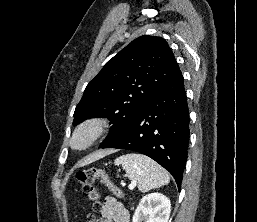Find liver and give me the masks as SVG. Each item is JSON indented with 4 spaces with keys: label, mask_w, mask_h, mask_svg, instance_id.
<instances>
[{
    "label": "liver",
    "mask_w": 257,
    "mask_h": 222,
    "mask_svg": "<svg viewBox=\"0 0 257 222\" xmlns=\"http://www.w3.org/2000/svg\"><path fill=\"white\" fill-rule=\"evenodd\" d=\"M110 152H111V151H101V152L95 153V154H93V155L87 157L86 159H84V160L80 163V165L82 166V165L89 164V163H91L92 161H95V160H97V159L103 157L104 155L109 154Z\"/></svg>",
    "instance_id": "liver-1"
}]
</instances>
